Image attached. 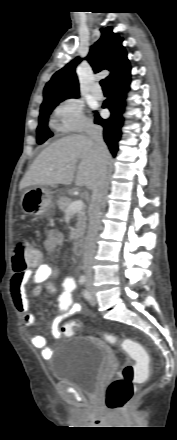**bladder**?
<instances>
[{
  "instance_id": "31cf9c89",
  "label": "bladder",
  "mask_w": 177,
  "mask_h": 440,
  "mask_svg": "<svg viewBox=\"0 0 177 440\" xmlns=\"http://www.w3.org/2000/svg\"><path fill=\"white\" fill-rule=\"evenodd\" d=\"M109 361V349L97 338L79 337L72 346L58 348L50 366L55 382L67 383L78 391L95 395L104 367Z\"/></svg>"
}]
</instances>
